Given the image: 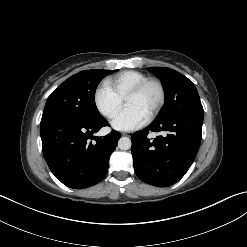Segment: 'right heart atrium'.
I'll list each match as a JSON object with an SVG mask.
<instances>
[{
    "instance_id": "obj_1",
    "label": "right heart atrium",
    "mask_w": 247,
    "mask_h": 247,
    "mask_svg": "<svg viewBox=\"0 0 247 247\" xmlns=\"http://www.w3.org/2000/svg\"><path fill=\"white\" fill-rule=\"evenodd\" d=\"M93 100L98 112L108 119L115 117L122 106V99L106 84L96 88Z\"/></svg>"
}]
</instances>
